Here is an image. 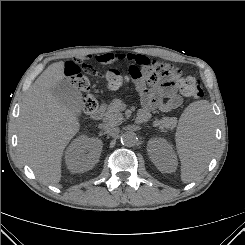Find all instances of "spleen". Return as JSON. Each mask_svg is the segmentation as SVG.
I'll return each mask as SVG.
<instances>
[{
    "label": "spleen",
    "instance_id": "spleen-1",
    "mask_svg": "<svg viewBox=\"0 0 245 245\" xmlns=\"http://www.w3.org/2000/svg\"><path fill=\"white\" fill-rule=\"evenodd\" d=\"M213 113L207 100L191 103L182 113L176 132L181 180L189 183L203 173L213 149Z\"/></svg>",
    "mask_w": 245,
    "mask_h": 245
}]
</instances>
